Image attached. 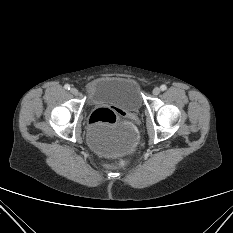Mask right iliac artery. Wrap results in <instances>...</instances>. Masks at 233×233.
I'll list each match as a JSON object with an SVG mask.
<instances>
[{
	"label": "right iliac artery",
	"mask_w": 233,
	"mask_h": 233,
	"mask_svg": "<svg viewBox=\"0 0 233 233\" xmlns=\"http://www.w3.org/2000/svg\"><path fill=\"white\" fill-rule=\"evenodd\" d=\"M64 88H65L66 90H70V85H69V84H65Z\"/></svg>",
	"instance_id": "82829eb1"
}]
</instances>
